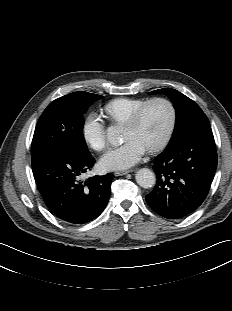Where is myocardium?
<instances>
[{
  "label": "myocardium",
  "mask_w": 232,
  "mask_h": 311,
  "mask_svg": "<svg viewBox=\"0 0 232 311\" xmlns=\"http://www.w3.org/2000/svg\"><path fill=\"white\" fill-rule=\"evenodd\" d=\"M156 103H164L167 105V107L169 108V112H170V120H169L167 129L164 135L162 136V138L155 145L147 149L149 152H157L161 150L170 140L174 132L176 120H177V113H176V108L174 104L167 98H163V97L152 98L148 100L147 102H145L141 107H139L134 112V114L131 116L129 121L124 125L125 128L136 127L141 122L144 114L149 109V107H151L153 104H156Z\"/></svg>",
  "instance_id": "obj_1"
}]
</instances>
